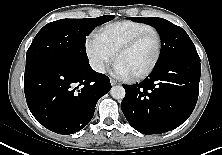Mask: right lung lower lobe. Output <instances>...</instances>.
I'll use <instances>...</instances> for the list:
<instances>
[{
  "label": "right lung lower lobe",
  "mask_w": 222,
  "mask_h": 155,
  "mask_svg": "<svg viewBox=\"0 0 222 155\" xmlns=\"http://www.w3.org/2000/svg\"><path fill=\"white\" fill-rule=\"evenodd\" d=\"M109 78L89 63H50L25 72L27 105L47 129L69 135L92 119L99 98L109 92Z\"/></svg>",
  "instance_id": "obj_1"
}]
</instances>
